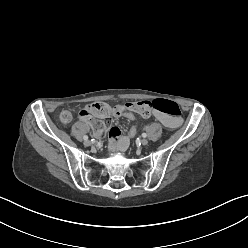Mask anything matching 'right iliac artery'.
Returning <instances> with one entry per match:
<instances>
[{"label":"right iliac artery","instance_id":"obj_1","mask_svg":"<svg viewBox=\"0 0 248 248\" xmlns=\"http://www.w3.org/2000/svg\"><path fill=\"white\" fill-rule=\"evenodd\" d=\"M83 139H84V140H88V136L85 135V136L83 137Z\"/></svg>","mask_w":248,"mask_h":248}]
</instances>
